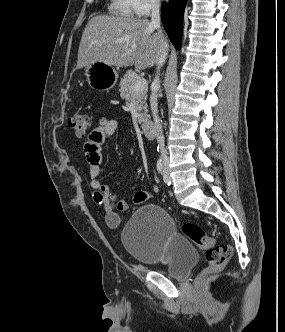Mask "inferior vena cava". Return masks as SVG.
<instances>
[{
	"label": "inferior vena cava",
	"instance_id": "602c4592",
	"mask_svg": "<svg viewBox=\"0 0 285 332\" xmlns=\"http://www.w3.org/2000/svg\"><path fill=\"white\" fill-rule=\"evenodd\" d=\"M152 6V13H151V25L158 30V34L162 37L160 41V56L157 61V71L160 70V68L163 66L167 52H168V43L164 39V36L162 34L161 30V18H160V0H152L151 3ZM160 87L159 83V77L158 74L156 75L155 79L153 80L151 84V95H150V106L151 111L154 119V123L156 126V138L158 143L160 144V152L162 159L167 161V153L164 146V137L161 135V125H160V119L158 117V104H157V90Z\"/></svg>",
	"mask_w": 285,
	"mask_h": 332
}]
</instances>
